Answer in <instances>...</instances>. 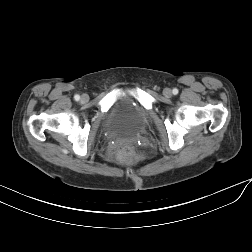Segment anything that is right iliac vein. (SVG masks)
<instances>
[{
    "label": "right iliac vein",
    "mask_w": 252,
    "mask_h": 252,
    "mask_svg": "<svg viewBox=\"0 0 252 252\" xmlns=\"http://www.w3.org/2000/svg\"><path fill=\"white\" fill-rule=\"evenodd\" d=\"M88 99H89V97H88L87 94H83V95L81 96V101H82V102H87Z\"/></svg>",
    "instance_id": "1"
}]
</instances>
